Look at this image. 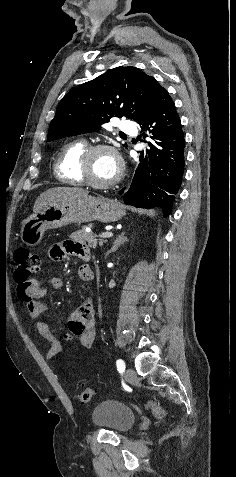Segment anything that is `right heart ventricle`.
<instances>
[{"label":"right heart ventricle","instance_id":"obj_1","mask_svg":"<svg viewBox=\"0 0 236 477\" xmlns=\"http://www.w3.org/2000/svg\"><path fill=\"white\" fill-rule=\"evenodd\" d=\"M87 148L84 141H72L63 146L54 164L56 178L69 185H82L78 172L79 158Z\"/></svg>","mask_w":236,"mask_h":477}]
</instances>
